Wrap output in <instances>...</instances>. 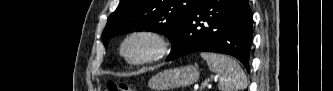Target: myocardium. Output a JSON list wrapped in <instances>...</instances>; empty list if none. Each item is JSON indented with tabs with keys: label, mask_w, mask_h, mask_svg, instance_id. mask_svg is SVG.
Wrapping results in <instances>:
<instances>
[{
	"label": "myocardium",
	"mask_w": 333,
	"mask_h": 91,
	"mask_svg": "<svg viewBox=\"0 0 333 91\" xmlns=\"http://www.w3.org/2000/svg\"><path fill=\"white\" fill-rule=\"evenodd\" d=\"M134 39H143L150 45V51L139 57L132 59L125 53V48ZM171 51V41L168 36L155 29L139 28L130 31L120 43L119 54L129 65L139 66L159 61L166 57Z\"/></svg>",
	"instance_id": "myocardium-1"
}]
</instances>
